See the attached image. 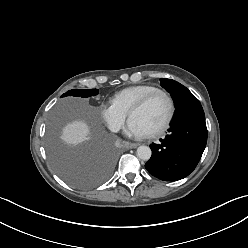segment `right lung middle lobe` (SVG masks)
<instances>
[{
    "mask_svg": "<svg viewBox=\"0 0 248 248\" xmlns=\"http://www.w3.org/2000/svg\"><path fill=\"white\" fill-rule=\"evenodd\" d=\"M97 94V89H72L61 97L85 98ZM48 153L61 178L79 188H91L102 183L111 173L115 160L112 148L99 136L85 146L72 147L63 144L54 131L49 133Z\"/></svg>",
    "mask_w": 248,
    "mask_h": 248,
    "instance_id": "right-lung-middle-lobe-1",
    "label": "right lung middle lobe"
}]
</instances>
